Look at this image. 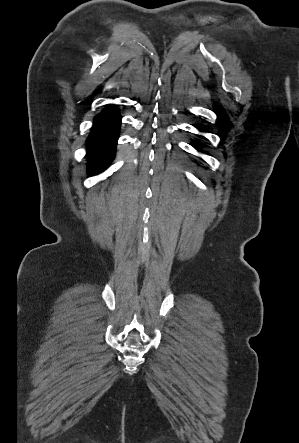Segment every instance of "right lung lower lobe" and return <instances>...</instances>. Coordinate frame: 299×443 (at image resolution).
I'll return each mask as SVG.
<instances>
[{
  "instance_id": "1",
  "label": "right lung lower lobe",
  "mask_w": 299,
  "mask_h": 443,
  "mask_svg": "<svg viewBox=\"0 0 299 443\" xmlns=\"http://www.w3.org/2000/svg\"><path fill=\"white\" fill-rule=\"evenodd\" d=\"M121 116L115 105L109 106L94 119L88 137V173L92 176L104 170L115 154Z\"/></svg>"
}]
</instances>
